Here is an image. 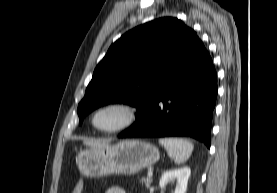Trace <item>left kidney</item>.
I'll list each match as a JSON object with an SVG mask.
<instances>
[{"instance_id": "1", "label": "left kidney", "mask_w": 277, "mask_h": 193, "mask_svg": "<svg viewBox=\"0 0 277 193\" xmlns=\"http://www.w3.org/2000/svg\"><path fill=\"white\" fill-rule=\"evenodd\" d=\"M191 174V169L187 166L166 171L159 182L161 188L165 187L168 182L177 180L176 188L174 193H185L187 189L188 179Z\"/></svg>"}]
</instances>
